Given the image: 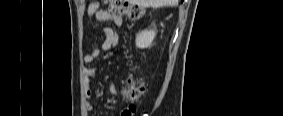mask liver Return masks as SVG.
<instances>
[{
	"instance_id": "obj_1",
	"label": "liver",
	"mask_w": 283,
	"mask_h": 116,
	"mask_svg": "<svg viewBox=\"0 0 283 116\" xmlns=\"http://www.w3.org/2000/svg\"><path fill=\"white\" fill-rule=\"evenodd\" d=\"M130 2L142 7L154 8L178 5V0H130Z\"/></svg>"
}]
</instances>
